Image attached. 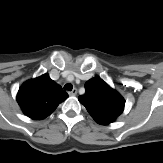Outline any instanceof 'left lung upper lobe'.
I'll list each match as a JSON object with an SVG mask.
<instances>
[{
  "label": "left lung upper lobe",
  "instance_id": "left-lung-upper-lobe-1",
  "mask_svg": "<svg viewBox=\"0 0 163 163\" xmlns=\"http://www.w3.org/2000/svg\"><path fill=\"white\" fill-rule=\"evenodd\" d=\"M85 89L78 99L97 123L108 125L123 112L124 98L100 77L88 80Z\"/></svg>",
  "mask_w": 163,
  "mask_h": 163
}]
</instances>
